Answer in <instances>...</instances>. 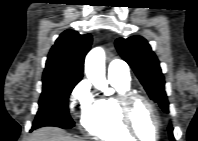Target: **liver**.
I'll list each match as a JSON object with an SVG mask.
<instances>
[{"mask_svg":"<svg viewBox=\"0 0 198 141\" xmlns=\"http://www.w3.org/2000/svg\"><path fill=\"white\" fill-rule=\"evenodd\" d=\"M31 141H82L80 139H76L70 137L63 130L59 128H40L33 132Z\"/></svg>","mask_w":198,"mask_h":141,"instance_id":"liver-1","label":"liver"}]
</instances>
